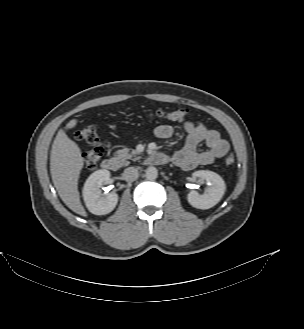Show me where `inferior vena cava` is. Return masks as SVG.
I'll list each match as a JSON object with an SVG mask.
<instances>
[{"label": "inferior vena cava", "instance_id": "obj_1", "mask_svg": "<svg viewBox=\"0 0 304 329\" xmlns=\"http://www.w3.org/2000/svg\"><path fill=\"white\" fill-rule=\"evenodd\" d=\"M124 176L127 180L134 181L138 178V169L135 167H128L124 170Z\"/></svg>", "mask_w": 304, "mask_h": 329}]
</instances>
